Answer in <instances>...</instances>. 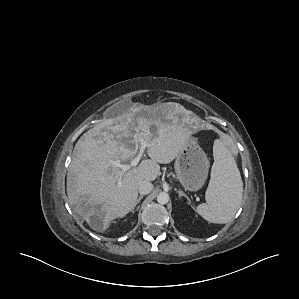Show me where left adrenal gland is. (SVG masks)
<instances>
[{
  "label": "left adrenal gland",
  "mask_w": 299,
  "mask_h": 299,
  "mask_svg": "<svg viewBox=\"0 0 299 299\" xmlns=\"http://www.w3.org/2000/svg\"><path fill=\"white\" fill-rule=\"evenodd\" d=\"M175 191L179 194V197H185L187 199V201H189L188 196L182 191V190H177L175 189Z\"/></svg>",
  "instance_id": "a2214340"
}]
</instances>
